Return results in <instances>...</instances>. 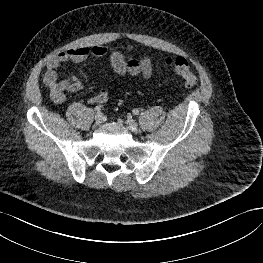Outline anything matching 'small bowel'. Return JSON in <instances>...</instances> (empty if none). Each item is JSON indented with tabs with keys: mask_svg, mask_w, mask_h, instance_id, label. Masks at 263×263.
Wrapping results in <instances>:
<instances>
[{
	"mask_svg": "<svg viewBox=\"0 0 263 263\" xmlns=\"http://www.w3.org/2000/svg\"><path fill=\"white\" fill-rule=\"evenodd\" d=\"M90 55L98 58H108L111 69L117 76H141L149 79L152 74V65L147 56L134 59L119 51H108L102 46L92 48L86 46L74 47L66 51H61L53 55L47 62L44 82L49 87L51 98L56 103H62L66 99V93H76L82 89V82L75 76L59 79L57 69L62 63L82 62ZM109 91L106 88L100 89L89 98L92 104L104 103L107 101Z\"/></svg>",
	"mask_w": 263,
	"mask_h": 263,
	"instance_id": "1",
	"label": "small bowel"
}]
</instances>
